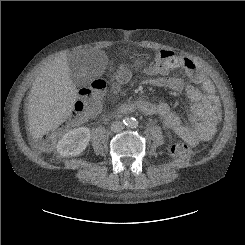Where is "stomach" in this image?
<instances>
[{
  "label": "stomach",
  "instance_id": "1",
  "mask_svg": "<svg viewBox=\"0 0 245 245\" xmlns=\"http://www.w3.org/2000/svg\"><path fill=\"white\" fill-rule=\"evenodd\" d=\"M143 62H144V60H136L135 66H138V67L142 66Z\"/></svg>",
  "mask_w": 245,
  "mask_h": 245
}]
</instances>
